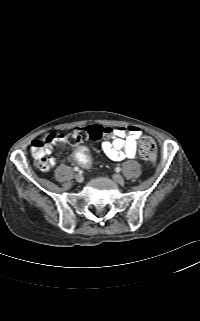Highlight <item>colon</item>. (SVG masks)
<instances>
[{
	"label": "colon",
	"instance_id": "1",
	"mask_svg": "<svg viewBox=\"0 0 200 321\" xmlns=\"http://www.w3.org/2000/svg\"><path fill=\"white\" fill-rule=\"evenodd\" d=\"M112 129L100 125H88L77 127L67 133V139L71 144H79L87 140H99L110 136ZM47 140H35L31 145V153L37 161V167L42 171H47L52 167L51 161L46 157ZM139 153L143 160L153 164L157 158V148L154 140L150 137H143L139 143ZM73 158L83 166H89L91 157L89 150L84 145H78L73 150Z\"/></svg>",
	"mask_w": 200,
	"mask_h": 321
}]
</instances>
